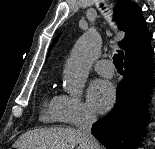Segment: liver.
Wrapping results in <instances>:
<instances>
[{"label": "liver", "instance_id": "obj_1", "mask_svg": "<svg viewBox=\"0 0 155 149\" xmlns=\"http://www.w3.org/2000/svg\"><path fill=\"white\" fill-rule=\"evenodd\" d=\"M87 149L82 133L74 128H40L18 138L16 149Z\"/></svg>", "mask_w": 155, "mask_h": 149}]
</instances>
